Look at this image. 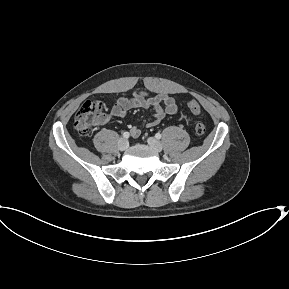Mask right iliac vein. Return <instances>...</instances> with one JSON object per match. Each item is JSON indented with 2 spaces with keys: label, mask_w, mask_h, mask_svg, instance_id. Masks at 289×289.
Returning a JSON list of instances; mask_svg holds the SVG:
<instances>
[{
  "label": "right iliac vein",
  "mask_w": 289,
  "mask_h": 289,
  "mask_svg": "<svg viewBox=\"0 0 289 289\" xmlns=\"http://www.w3.org/2000/svg\"><path fill=\"white\" fill-rule=\"evenodd\" d=\"M129 146V143L126 139L124 138H121L118 142V149L121 150V151H124L128 148Z\"/></svg>",
  "instance_id": "right-iliac-vein-1"
}]
</instances>
